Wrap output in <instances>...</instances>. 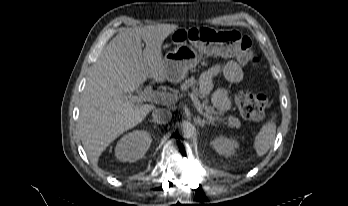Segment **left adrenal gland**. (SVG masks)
I'll use <instances>...</instances> for the list:
<instances>
[{
	"label": "left adrenal gland",
	"instance_id": "obj_1",
	"mask_svg": "<svg viewBox=\"0 0 348 206\" xmlns=\"http://www.w3.org/2000/svg\"><path fill=\"white\" fill-rule=\"evenodd\" d=\"M197 123L201 126V127H204L206 124L207 125H214V122L213 121H207V120H204V119H201L200 117H197Z\"/></svg>",
	"mask_w": 348,
	"mask_h": 206
}]
</instances>
